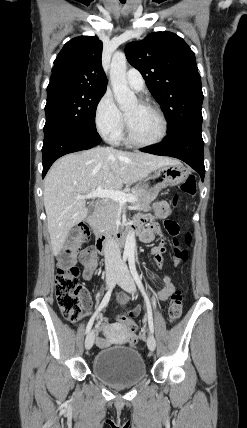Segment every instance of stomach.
Listing matches in <instances>:
<instances>
[{
  "label": "stomach",
  "mask_w": 247,
  "mask_h": 428,
  "mask_svg": "<svg viewBox=\"0 0 247 428\" xmlns=\"http://www.w3.org/2000/svg\"><path fill=\"white\" fill-rule=\"evenodd\" d=\"M190 172L182 163L165 165L157 169L153 175L145 178L141 186L148 190H160L168 186H176L184 182Z\"/></svg>",
  "instance_id": "0dacf381"
}]
</instances>
